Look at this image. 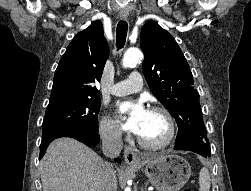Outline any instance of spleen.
I'll use <instances>...</instances> for the list:
<instances>
[{"mask_svg": "<svg viewBox=\"0 0 251 191\" xmlns=\"http://www.w3.org/2000/svg\"><path fill=\"white\" fill-rule=\"evenodd\" d=\"M199 191H210L211 177L208 167H202L199 171Z\"/></svg>", "mask_w": 251, "mask_h": 191, "instance_id": "obj_1", "label": "spleen"}]
</instances>
